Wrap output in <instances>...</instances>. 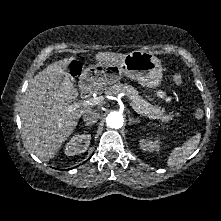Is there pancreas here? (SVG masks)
I'll return each mask as SVG.
<instances>
[{
	"instance_id": "1",
	"label": "pancreas",
	"mask_w": 221,
	"mask_h": 221,
	"mask_svg": "<svg viewBox=\"0 0 221 221\" xmlns=\"http://www.w3.org/2000/svg\"><path fill=\"white\" fill-rule=\"evenodd\" d=\"M119 93L127 94L132 103L150 119H157L163 123H167L173 119L172 113L167 115L164 109L151 105L138 94V91L133 86L127 83H117L107 90V94L109 95H118Z\"/></svg>"
}]
</instances>
